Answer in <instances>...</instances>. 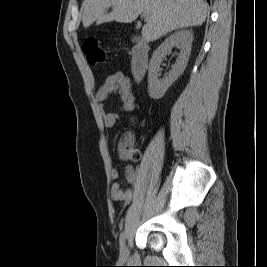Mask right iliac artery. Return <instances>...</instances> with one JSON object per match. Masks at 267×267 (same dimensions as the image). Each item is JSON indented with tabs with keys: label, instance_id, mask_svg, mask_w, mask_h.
<instances>
[{
	"label": "right iliac artery",
	"instance_id": "obj_1",
	"mask_svg": "<svg viewBox=\"0 0 267 267\" xmlns=\"http://www.w3.org/2000/svg\"><path fill=\"white\" fill-rule=\"evenodd\" d=\"M126 238V233L122 232L120 235V245L124 244Z\"/></svg>",
	"mask_w": 267,
	"mask_h": 267
}]
</instances>
